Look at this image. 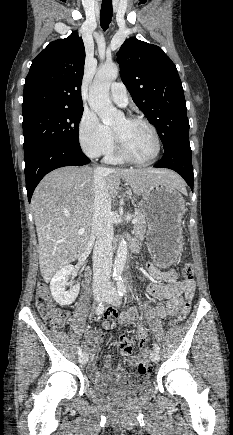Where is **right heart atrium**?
<instances>
[{
	"label": "right heart atrium",
	"instance_id": "right-heart-atrium-1",
	"mask_svg": "<svg viewBox=\"0 0 233 435\" xmlns=\"http://www.w3.org/2000/svg\"><path fill=\"white\" fill-rule=\"evenodd\" d=\"M78 141L91 157L106 155L114 145L111 130L90 110L85 111L79 121Z\"/></svg>",
	"mask_w": 233,
	"mask_h": 435
}]
</instances>
